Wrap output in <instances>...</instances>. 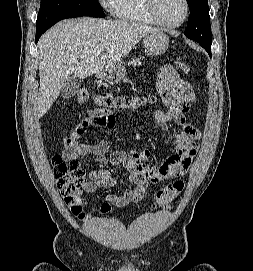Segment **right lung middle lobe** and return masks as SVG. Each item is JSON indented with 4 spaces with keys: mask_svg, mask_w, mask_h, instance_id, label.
Instances as JSON below:
<instances>
[{
    "mask_svg": "<svg viewBox=\"0 0 253 271\" xmlns=\"http://www.w3.org/2000/svg\"><path fill=\"white\" fill-rule=\"evenodd\" d=\"M105 17L98 0H41L36 32L46 31L58 21L72 17Z\"/></svg>",
    "mask_w": 253,
    "mask_h": 271,
    "instance_id": "right-lung-middle-lobe-1",
    "label": "right lung middle lobe"
}]
</instances>
